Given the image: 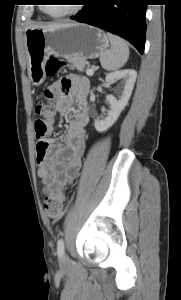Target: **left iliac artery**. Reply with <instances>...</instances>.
<instances>
[{
    "label": "left iliac artery",
    "mask_w": 181,
    "mask_h": 300,
    "mask_svg": "<svg viewBox=\"0 0 181 300\" xmlns=\"http://www.w3.org/2000/svg\"><path fill=\"white\" fill-rule=\"evenodd\" d=\"M57 253L59 257L64 253V241L62 239L57 242Z\"/></svg>",
    "instance_id": "obj_1"
}]
</instances>
